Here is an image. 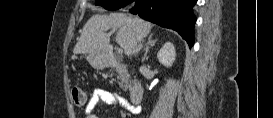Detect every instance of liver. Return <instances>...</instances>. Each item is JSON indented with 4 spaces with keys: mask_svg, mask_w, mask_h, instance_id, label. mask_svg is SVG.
Masks as SVG:
<instances>
[{
    "mask_svg": "<svg viewBox=\"0 0 273 118\" xmlns=\"http://www.w3.org/2000/svg\"><path fill=\"white\" fill-rule=\"evenodd\" d=\"M151 24L140 18L123 13L109 15H93L83 27L80 38L74 47V54H91L103 52L110 48V34L107 30H118L117 43L127 56L138 52L141 41L151 31Z\"/></svg>",
    "mask_w": 273,
    "mask_h": 118,
    "instance_id": "6515ba94",
    "label": "liver"
}]
</instances>
